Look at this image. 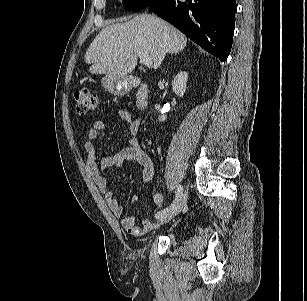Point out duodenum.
Returning a JSON list of instances; mask_svg holds the SVG:
<instances>
[{
  "instance_id": "1",
  "label": "duodenum",
  "mask_w": 307,
  "mask_h": 301,
  "mask_svg": "<svg viewBox=\"0 0 307 301\" xmlns=\"http://www.w3.org/2000/svg\"><path fill=\"white\" fill-rule=\"evenodd\" d=\"M132 86L136 89V105L139 109L144 110L149 105V88L140 79L135 78Z\"/></svg>"
}]
</instances>
